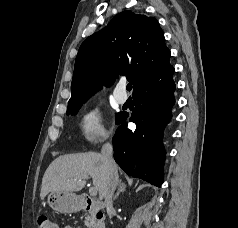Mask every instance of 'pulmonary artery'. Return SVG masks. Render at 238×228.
I'll return each mask as SVG.
<instances>
[{
  "label": "pulmonary artery",
  "instance_id": "obj_1",
  "mask_svg": "<svg viewBox=\"0 0 238 228\" xmlns=\"http://www.w3.org/2000/svg\"><path fill=\"white\" fill-rule=\"evenodd\" d=\"M114 98L119 104H124L127 101L124 83H119L114 90Z\"/></svg>",
  "mask_w": 238,
  "mask_h": 228
}]
</instances>
